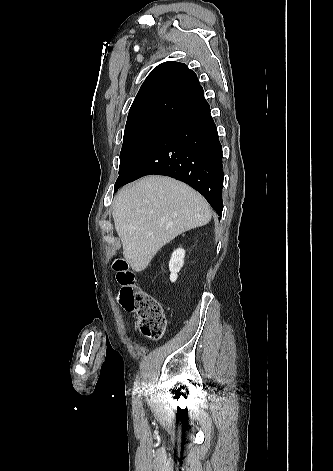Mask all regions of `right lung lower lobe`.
Listing matches in <instances>:
<instances>
[{
  "mask_svg": "<svg viewBox=\"0 0 333 471\" xmlns=\"http://www.w3.org/2000/svg\"><path fill=\"white\" fill-rule=\"evenodd\" d=\"M151 174L166 175L187 183L200 192L221 217L222 146L205 98L150 142L117 179L114 192Z\"/></svg>",
  "mask_w": 333,
  "mask_h": 471,
  "instance_id": "98d812e1",
  "label": "right lung lower lobe"
}]
</instances>
